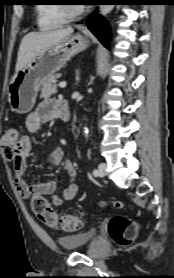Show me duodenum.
<instances>
[{
  "instance_id": "duodenum-1",
  "label": "duodenum",
  "mask_w": 174,
  "mask_h": 278,
  "mask_svg": "<svg viewBox=\"0 0 174 278\" xmlns=\"http://www.w3.org/2000/svg\"><path fill=\"white\" fill-rule=\"evenodd\" d=\"M57 115L63 120L70 119L68 103L65 100L59 101L58 107H57Z\"/></svg>"
}]
</instances>
